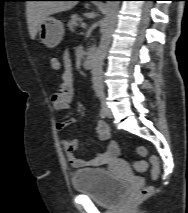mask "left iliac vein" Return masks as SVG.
<instances>
[{
	"instance_id": "obj_1",
	"label": "left iliac vein",
	"mask_w": 188,
	"mask_h": 213,
	"mask_svg": "<svg viewBox=\"0 0 188 213\" xmlns=\"http://www.w3.org/2000/svg\"><path fill=\"white\" fill-rule=\"evenodd\" d=\"M107 117L112 118V111L110 110L108 106H107Z\"/></svg>"
}]
</instances>
